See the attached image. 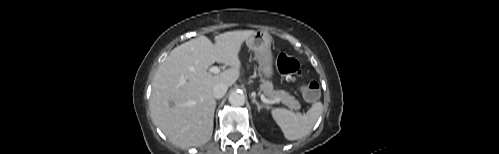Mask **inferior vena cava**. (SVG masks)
<instances>
[{
  "mask_svg": "<svg viewBox=\"0 0 499 154\" xmlns=\"http://www.w3.org/2000/svg\"><path fill=\"white\" fill-rule=\"evenodd\" d=\"M228 90V86L224 83H218L216 84L213 89H212V93H213V96L217 99L219 98H222L226 92Z\"/></svg>",
  "mask_w": 499,
  "mask_h": 154,
  "instance_id": "1",
  "label": "inferior vena cava"
}]
</instances>
